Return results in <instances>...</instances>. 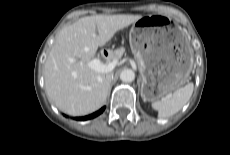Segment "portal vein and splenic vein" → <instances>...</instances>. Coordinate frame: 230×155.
Instances as JSON below:
<instances>
[{"label":"portal vein and splenic vein","mask_w":230,"mask_h":155,"mask_svg":"<svg viewBox=\"0 0 230 155\" xmlns=\"http://www.w3.org/2000/svg\"><path fill=\"white\" fill-rule=\"evenodd\" d=\"M118 60L115 59L109 63H103L101 62L100 59L95 58L91 60L88 65L91 67L93 70H95L98 73H108L111 72L117 65Z\"/></svg>","instance_id":"1"}]
</instances>
